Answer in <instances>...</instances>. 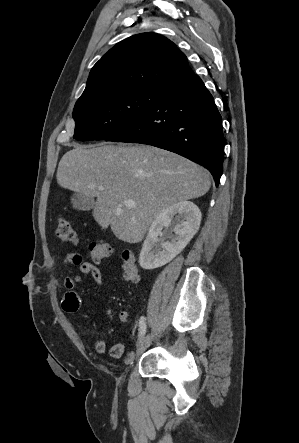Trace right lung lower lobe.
<instances>
[{
	"mask_svg": "<svg viewBox=\"0 0 299 443\" xmlns=\"http://www.w3.org/2000/svg\"><path fill=\"white\" fill-rule=\"evenodd\" d=\"M105 141L141 143L175 152L209 169L216 186L220 182L222 119L198 75L165 89L140 118Z\"/></svg>",
	"mask_w": 299,
	"mask_h": 443,
	"instance_id": "obj_1",
	"label": "right lung lower lobe"
}]
</instances>
